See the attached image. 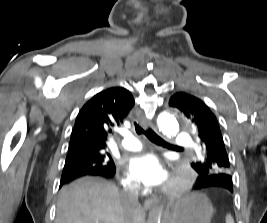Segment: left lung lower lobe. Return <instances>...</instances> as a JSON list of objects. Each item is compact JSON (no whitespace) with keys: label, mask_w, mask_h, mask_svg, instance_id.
<instances>
[{"label":"left lung lower lobe","mask_w":267,"mask_h":223,"mask_svg":"<svg viewBox=\"0 0 267 223\" xmlns=\"http://www.w3.org/2000/svg\"><path fill=\"white\" fill-rule=\"evenodd\" d=\"M195 178H200L194 186L197 192H213L216 195H231L234 182L231 173H195Z\"/></svg>","instance_id":"1"}]
</instances>
